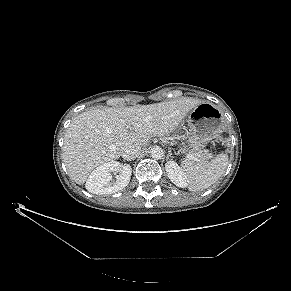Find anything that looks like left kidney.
<instances>
[{
    "label": "left kidney",
    "mask_w": 291,
    "mask_h": 291,
    "mask_svg": "<svg viewBox=\"0 0 291 291\" xmlns=\"http://www.w3.org/2000/svg\"><path fill=\"white\" fill-rule=\"evenodd\" d=\"M165 170L171 182L176 186L180 188H185L187 186L186 175L175 161H168L165 164Z\"/></svg>",
    "instance_id": "5707ae66"
}]
</instances>
